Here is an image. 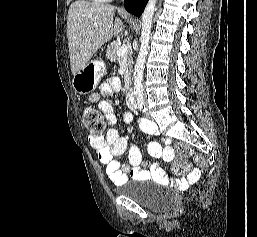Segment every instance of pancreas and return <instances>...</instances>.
Segmentation results:
<instances>
[{
  "label": "pancreas",
  "instance_id": "cf45deb5",
  "mask_svg": "<svg viewBox=\"0 0 257 237\" xmlns=\"http://www.w3.org/2000/svg\"><path fill=\"white\" fill-rule=\"evenodd\" d=\"M121 47V43L118 41H114L108 45L106 50V56L111 61L118 60V55L116 54L117 50ZM127 62H128V75H131L132 67H133V58L132 51L127 52Z\"/></svg>",
  "mask_w": 257,
  "mask_h": 237
}]
</instances>
